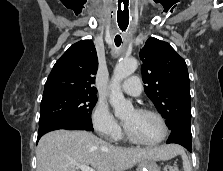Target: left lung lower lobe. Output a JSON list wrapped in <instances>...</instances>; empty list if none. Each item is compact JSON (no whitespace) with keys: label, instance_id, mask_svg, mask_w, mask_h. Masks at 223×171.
<instances>
[{"label":"left lung lower lobe","instance_id":"0a47b994","mask_svg":"<svg viewBox=\"0 0 223 171\" xmlns=\"http://www.w3.org/2000/svg\"><path fill=\"white\" fill-rule=\"evenodd\" d=\"M171 135L169 136L167 143H176L185 147L188 151L192 152L191 146V132L186 131L182 128H174L171 130Z\"/></svg>","mask_w":223,"mask_h":171}]
</instances>
